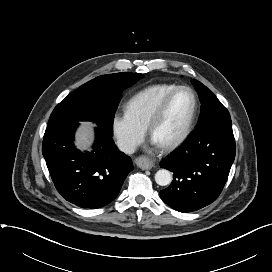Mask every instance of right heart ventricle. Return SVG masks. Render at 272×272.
I'll return each mask as SVG.
<instances>
[{"mask_svg":"<svg viewBox=\"0 0 272 272\" xmlns=\"http://www.w3.org/2000/svg\"><path fill=\"white\" fill-rule=\"evenodd\" d=\"M178 85L160 83L148 86L133 95L125 105L126 113L141 127L148 123L163 98Z\"/></svg>","mask_w":272,"mask_h":272,"instance_id":"obj_1","label":"right heart ventricle"}]
</instances>
